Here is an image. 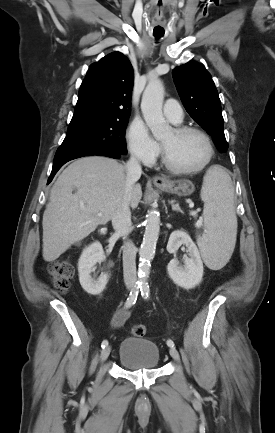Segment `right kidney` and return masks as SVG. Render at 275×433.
<instances>
[{"instance_id":"1","label":"right kidney","mask_w":275,"mask_h":433,"mask_svg":"<svg viewBox=\"0 0 275 433\" xmlns=\"http://www.w3.org/2000/svg\"><path fill=\"white\" fill-rule=\"evenodd\" d=\"M104 259L102 245L97 241L86 247L80 256L78 262L79 281L82 288L91 295L100 294L108 282V274H101L97 280L91 277L96 263Z\"/></svg>"}]
</instances>
